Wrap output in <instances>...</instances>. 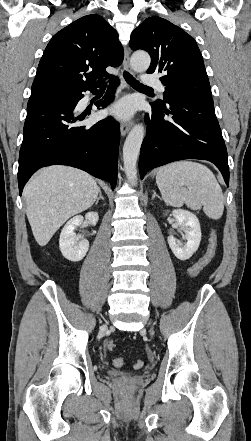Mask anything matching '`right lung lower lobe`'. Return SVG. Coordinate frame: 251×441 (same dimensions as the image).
Returning <instances> with one entry per match:
<instances>
[{
	"instance_id": "1",
	"label": "right lung lower lobe",
	"mask_w": 251,
	"mask_h": 441,
	"mask_svg": "<svg viewBox=\"0 0 251 441\" xmlns=\"http://www.w3.org/2000/svg\"><path fill=\"white\" fill-rule=\"evenodd\" d=\"M114 78L104 100L97 107H106L114 99ZM98 87V86H97ZM97 87L62 94L31 96L27 105L24 137L19 153V193L39 168L61 164L82 169L106 180L115 187L117 182L119 124L108 117L95 125L80 126L84 119L75 112L82 92H94Z\"/></svg>"
}]
</instances>
